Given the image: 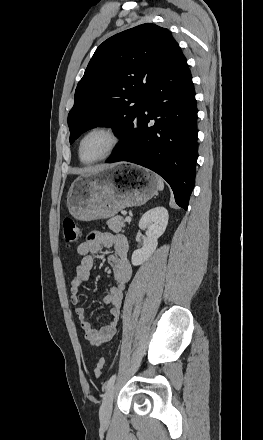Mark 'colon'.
Masks as SVG:
<instances>
[{
  "label": "colon",
  "instance_id": "obj_1",
  "mask_svg": "<svg viewBox=\"0 0 263 440\" xmlns=\"http://www.w3.org/2000/svg\"><path fill=\"white\" fill-rule=\"evenodd\" d=\"M63 230V241L66 246L74 245L80 236V229L77 223L70 218H67L63 222L62 226ZM105 361L103 358H100L94 367V374L97 378L101 377Z\"/></svg>",
  "mask_w": 263,
  "mask_h": 440
}]
</instances>
